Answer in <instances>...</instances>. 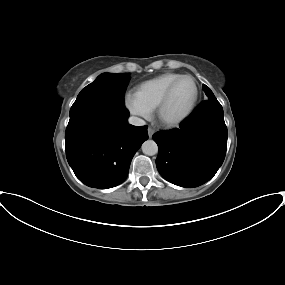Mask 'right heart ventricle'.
I'll return each mask as SVG.
<instances>
[{
    "instance_id": "obj_1",
    "label": "right heart ventricle",
    "mask_w": 285,
    "mask_h": 285,
    "mask_svg": "<svg viewBox=\"0 0 285 285\" xmlns=\"http://www.w3.org/2000/svg\"><path fill=\"white\" fill-rule=\"evenodd\" d=\"M179 73H164L140 83L134 92L136 101L149 111L156 109L167 87L178 78Z\"/></svg>"
}]
</instances>
